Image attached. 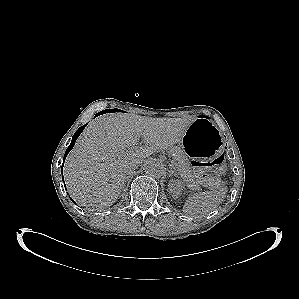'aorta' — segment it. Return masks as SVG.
<instances>
[{
	"instance_id": "aorta-1",
	"label": "aorta",
	"mask_w": 299,
	"mask_h": 299,
	"mask_svg": "<svg viewBox=\"0 0 299 299\" xmlns=\"http://www.w3.org/2000/svg\"><path fill=\"white\" fill-rule=\"evenodd\" d=\"M144 170L152 177H161L165 173V166L161 161L154 159L145 164Z\"/></svg>"
}]
</instances>
